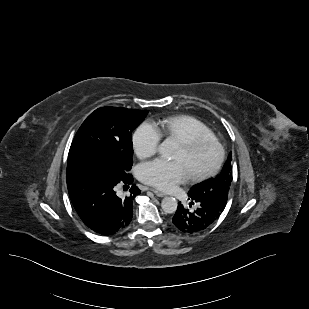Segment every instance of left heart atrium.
<instances>
[{
	"mask_svg": "<svg viewBox=\"0 0 309 309\" xmlns=\"http://www.w3.org/2000/svg\"><path fill=\"white\" fill-rule=\"evenodd\" d=\"M137 176L146 184L163 191H171L184 183L190 177V173L181 160L157 158L140 164Z\"/></svg>",
	"mask_w": 309,
	"mask_h": 309,
	"instance_id": "1",
	"label": "left heart atrium"
}]
</instances>
